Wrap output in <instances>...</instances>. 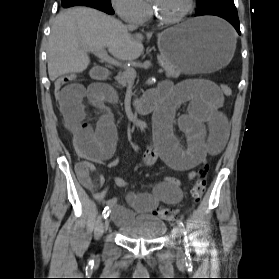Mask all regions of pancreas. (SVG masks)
<instances>
[{
  "label": "pancreas",
  "mask_w": 279,
  "mask_h": 279,
  "mask_svg": "<svg viewBox=\"0 0 279 279\" xmlns=\"http://www.w3.org/2000/svg\"><path fill=\"white\" fill-rule=\"evenodd\" d=\"M158 60L165 70L167 77L178 78L181 72L174 67L168 60H166L163 56H158ZM130 70H134L133 68L125 69L123 72L119 73L116 76V80L119 85L122 87H126L132 80V74ZM135 71V70H134Z\"/></svg>",
  "instance_id": "1"
}]
</instances>
